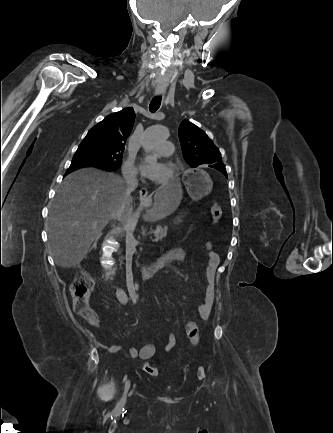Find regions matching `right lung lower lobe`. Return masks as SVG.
<instances>
[{
  "mask_svg": "<svg viewBox=\"0 0 333 433\" xmlns=\"http://www.w3.org/2000/svg\"><path fill=\"white\" fill-rule=\"evenodd\" d=\"M87 166H95V167H99L108 171H113L114 169L101 165V164H97V163H89V162H71V165L69 167V169L67 170L65 176L67 174H69L70 172H72L73 170H76L78 168H82V167H87Z\"/></svg>",
  "mask_w": 333,
  "mask_h": 433,
  "instance_id": "right-lung-lower-lobe-1",
  "label": "right lung lower lobe"
}]
</instances>
